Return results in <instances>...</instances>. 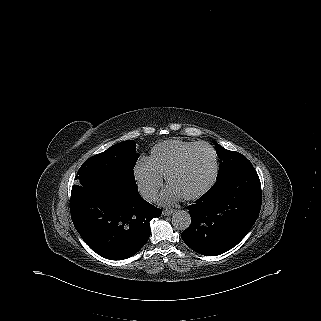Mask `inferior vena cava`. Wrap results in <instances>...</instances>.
<instances>
[{
    "mask_svg": "<svg viewBox=\"0 0 321 321\" xmlns=\"http://www.w3.org/2000/svg\"><path fill=\"white\" fill-rule=\"evenodd\" d=\"M143 199L148 202H156L158 199V190L154 188H144L140 191Z\"/></svg>",
    "mask_w": 321,
    "mask_h": 321,
    "instance_id": "1",
    "label": "inferior vena cava"
}]
</instances>
